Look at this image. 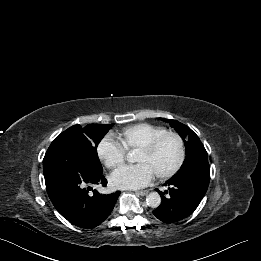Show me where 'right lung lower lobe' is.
Wrapping results in <instances>:
<instances>
[{"mask_svg":"<svg viewBox=\"0 0 261 261\" xmlns=\"http://www.w3.org/2000/svg\"><path fill=\"white\" fill-rule=\"evenodd\" d=\"M47 193L57 211L81 228L101 224L113 210L120 191L102 195L93 186H106L102 172L88 168L83 152L76 146L69 161L44 168Z\"/></svg>","mask_w":261,"mask_h":261,"instance_id":"1","label":"right lung lower lobe"}]
</instances>
